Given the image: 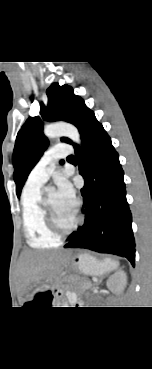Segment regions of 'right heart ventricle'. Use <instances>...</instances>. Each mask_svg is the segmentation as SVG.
<instances>
[{
	"mask_svg": "<svg viewBox=\"0 0 152 369\" xmlns=\"http://www.w3.org/2000/svg\"><path fill=\"white\" fill-rule=\"evenodd\" d=\"M41 187L26 185L21 196L22 221L27 243L32 248H52L60 239L50 232L42 208Z\"/></svg>",
	"mask_w": 152,
	"mask_h": 369,
	"instance_id": "1",
	"label": "right heart ventricle"
}]
</instances>
